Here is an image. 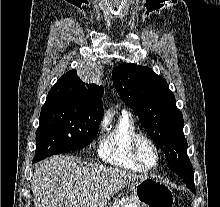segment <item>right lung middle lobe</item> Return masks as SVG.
Here are the masks:
<instances>
[{"instance_id": "1", "label": "right lung middle lobe", "mask_w": 220, "mask_h": 207, "mask_svg": "<svg viewBox=\"0 0 220 207\" xmlns=\"http://www.w3.org/2000/svg\"><path fill=\"white\" fill-rule=\"evenodd\" d=\"M102 116L76 98L48 95L36 131L34 161L84 148L97 135Z\"/></svg>"}]
</instances>
